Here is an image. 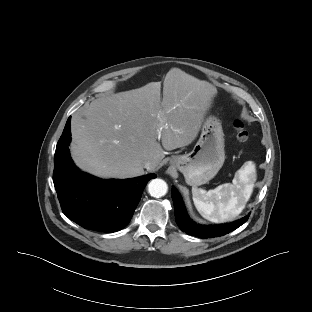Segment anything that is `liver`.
I'll list each match as a JSON object with an SVG mask.
<instances>
[{"label":"liver","mask_w":312,"mask_h":312,"mask_svg":"<svg viewBox=\"0 0 312 312\" xmlns=\"http://www.w3.org/2000/svg\"><path fill=\"white\" fill-rule=\"evenodd\" d=\"M160 93L161 83L151 82L80 108L71 121L75 164L101 178H133L144 174L145 161L157 167L165 150L191 144L217 89L173 68L164 79L162 102Z\"/></svg>","instance_id":"liver-1"}]
</instances>
